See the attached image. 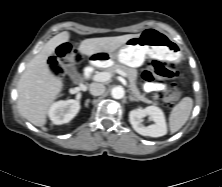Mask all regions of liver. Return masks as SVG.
Masks as SVG:
<instances>
[{"label":"liver","mask_w":222,"mask_h":187,"mask_svg":"<svg viewBox=\"0 0 222 187\" xmlns=\"http://www.w3.org/2000/svg\"><path fill=\"white\" fill-rule=\"evenodd\" d=\"M139 34L115 37L89 38L81 42L78 50L91 56L99 52L112 53L129 39ZM70 33L61 32L51 38L41 51L27 64L18 82L17 105L20 114L35 126H43L47 121L50 106L60 95L63 81L54 75L47 64L48 57L60 44L69 41Z\"/></svg>","instance_id":"liver-1"}]
</instances>
